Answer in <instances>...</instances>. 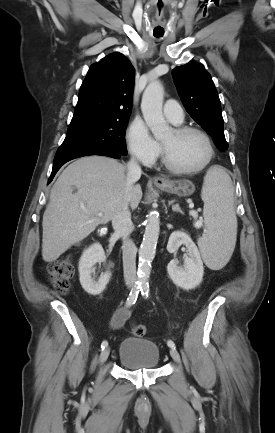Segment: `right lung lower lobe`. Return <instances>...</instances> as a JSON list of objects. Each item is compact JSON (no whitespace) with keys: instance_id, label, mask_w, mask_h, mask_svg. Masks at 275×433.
I'll list each match as a JSON object with an SVG mask.
<instances>
[{"instance_id":"98d812e1","label":"right lung lower lobe","mask_w":275,"mask_h":433,"mask_svg":"<svg viewBox=\"0 0 275 433\" xmlns=\"http://www.w3.org/2000/svg\"><path fill=\"white\" fill-rule=\"evenodd\" d=\"M88 155H102V156H108V157H112L115 159H118L121 157V154L113 152V151H107V150H98V151H92V152H88V153H82V154H74V155H67V156H62L59 158H55L54 159V163H53V168H52V173L51 176L49 178L48 184L52 181L54 175L57 173V171L68 161L75 159V158H79V157H83V156H88Z\"/></svg>"}]
</instances>
